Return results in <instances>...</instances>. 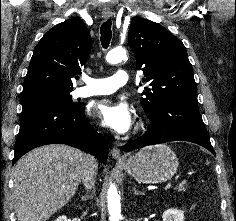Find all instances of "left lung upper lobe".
Here are the masks:
<instances>
[{
  "instance_id": "obj_1",
  "label": "left lung upper lobe",
  "mask_w": 236,
  "mask_h": 221,
  "mask_svg": "<svg viewBox=\"0 0 236 221\" xmlns=\"http://www.w3.org/2000/svg\"><path fill=\"white\" fill-rule=\"evenodd\" d=\"M129 46L143 82L151 89L142 92L141 105L147 116L168 101L198 103L193 70L183 43L170 31L146 19H135L129 28Z\"/></svg>"
}]
</instances>
